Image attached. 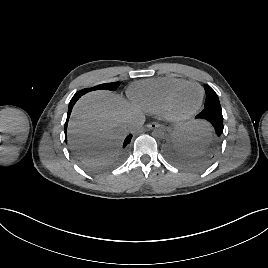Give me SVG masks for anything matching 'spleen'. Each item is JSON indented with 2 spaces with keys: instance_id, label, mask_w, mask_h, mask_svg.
<instances>
[{
  "instance_id": "obj_1",
  "label": "spleen",
  "mask_w": 268,
  "mask_h": 268,
  "mask_svg": "<svg viewBox=\"0 0 268 268\" xmlns=\"http://www.w3.org/2000/svg\"><path fill=\"white\" fill-rule=\"evenodd\" d=\"M218 137V130L211 125V121L206 116H199L193 123L187 126L184 138L189 144V148L194 153H201L206 146H210Z\"/></svg>"
}]
</instances>
